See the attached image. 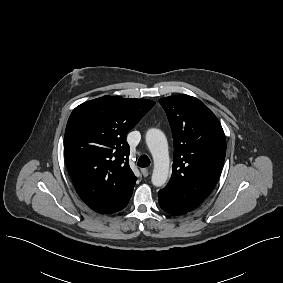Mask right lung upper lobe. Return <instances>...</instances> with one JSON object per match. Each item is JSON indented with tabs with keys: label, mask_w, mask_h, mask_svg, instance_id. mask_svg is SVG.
<instances>
[{
	"label": "right lung upper lobe",
	"mask_w": 283,
	"mask_h": 283,
	"mask_svg": "<svg viewBox=\"0 0 283 283\" xmlns=\"http://www.w3.org/2000/svg\"><path fill=\"white\" fill-rule=\"evenodd\" d=\"M154 104L103 96L71 113L64 136L65 159L78 195L92 210L110 214L128 204L137 178L129 166L126 135Z\"/></svg>",
	"instance_id": "obj_1"
}]
</instances>
